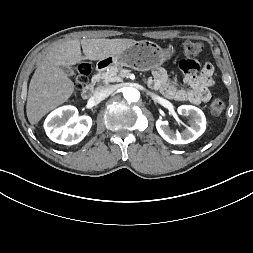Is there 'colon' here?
Here are the masks:
<instances>
[{
    "label": "colon",
    "instance_id": "obj_1",
    "mask_svg": "<svg viewBox=\"0 0 253 253\" xmlns=\"http://www.w3.org/2000/svg\"><path fill=\"white\" fill-rule=\"evenodd\" d=\"M205 49L206 47L203 42L187 41L182 47L183 59H193L195 57L199 58ZM91 71L92 67L88 62H81L76 66L73 75L74 87L76 91L82 90L87 85ZM209 109L212 115L221 116L225 110V103L220 98H213L210 102Z\"/></svg>",
    "mask_w": 253,
    "mask_h": 253
}]
</instances>
